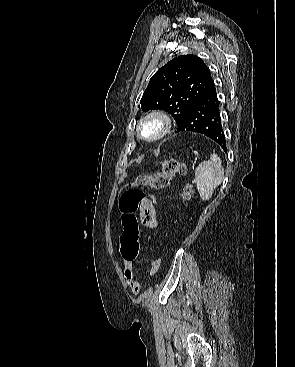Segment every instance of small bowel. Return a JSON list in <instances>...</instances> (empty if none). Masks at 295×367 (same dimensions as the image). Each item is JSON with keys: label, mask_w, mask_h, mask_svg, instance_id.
I'll list each match as a JSON object with an SVG mask.
<instances>
[{"label": "small bowel", "mask_w": 295, "mask_h": 367, "mask_svg": "<svg viewBox=\"0 0 295 367\" xmlns=\"http://www.w3.org/2000/svg\"><path fill=\"white\" fill-rule=\"evenodd\" d=\"M151 200H146L145 198L142 200L141 208H140V219L142 224L150 229H155L157 227V215L156 210L153 205H151L149 202ZM121 255L123 259V266H124V277L128 283V286L133 294H139L143 288V283L139 280L135 279V271H134V259L133 258H127L122 251V245H121ZM159 269V268H158ZM158 269H154L151 265L150 268V274L155 275L158 271Z\"/></svg>", "instance_id": "obj_1"}]
</instances>
